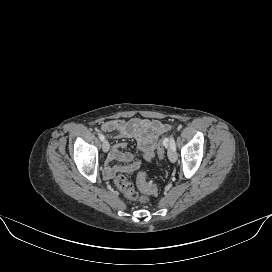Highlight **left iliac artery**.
<instances>
[{"mask_svg":"<svg viewBox=\"0 0 272 272\" xmlns=\"http://www.w3.org/2000/svg\"><path fill=\"white\" fill-rule=\"evenodd\" d=\"M170 147L176 151V145H175V140H174V137L171 136L170 137Z\"/></svg>","mask_w":272,"mask_h":272,"instance_id":"44dca946","label":"left iliac artery"}]
</instances>
